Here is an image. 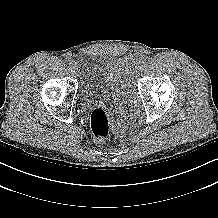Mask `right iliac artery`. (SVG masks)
Segmentation results:
<instances>
[{"label": "right iliac artery", "mask_w": 218, "mask_h": 218, "mask_svg": "<svg viewBox=\"0 0 218 218\" xmlns=\"http://www.w3.org/2000/svg\"><path fill=\"white\" fill-rule=\"evenodd\" d=\"M73 62V59L71 57L66 58V63L71 65Z\"/></svg>", "instance_id": "right-iliac-artery-1"}]
</instances>
